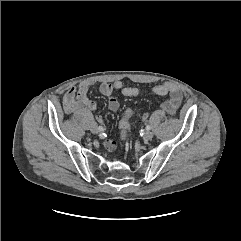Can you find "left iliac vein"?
<instances>
[{
    "label": "left iliac vein",
    "instance_id": "1",
    "mask_svg": "<svg viewBox=\"0 0 241 241\" xmlns=\"http://www.w3.org/2000/svg\"><path fill=\"white\" fill-rule=\"evenodd\" d=\"M153 138V133L151 131H146L143 135L144 140H151Z\"/></svg>",
    "mask_w": 241,
    "mask_h": 241
}]
</instances>
